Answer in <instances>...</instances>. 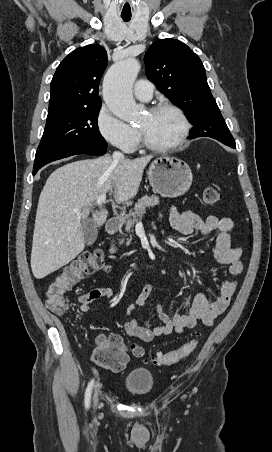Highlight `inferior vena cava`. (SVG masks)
Returning a JSON list of instances; mask_svg holds the SVG:
<instances>
[{
  "mask_svg": "<svg viewBox=\"0 0 272 452\" xmlns=\"http://www.w3.org/2000/svg\"><path fill=\"white\" fill-rule=\"evenodd\" d=\"M124 158H125L124 154L121 153V152L116 151V152L113 153V160L116 163L121 161V160H123Z\"/></svg>",
  "mask_w": 272,
  "mask_h": 452,
  "instance_id": "602c4592",
  "label": "inferior vena cava"
}]
</instances>
